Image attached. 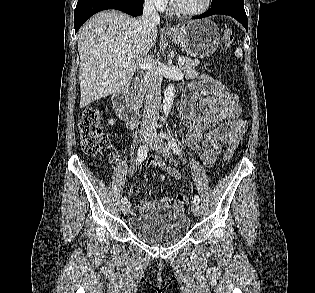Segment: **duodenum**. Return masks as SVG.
<instances>
[{"label":"duodenum","mask_w":315,"mask_h":293,"mask_svg":"<svg viewBox=\"0 0 315 293\" xmlns=\"http://www.w3.org/2000/svg\"><path fill=\"white\" fill-rule=\"evenodd\" d=\"M132 92L131 86H125L113 95V105L118 116L130 128L137 124L139 118L137 108L131 102Z\"/></svg>","instance_id":"1"}]
</instances>
